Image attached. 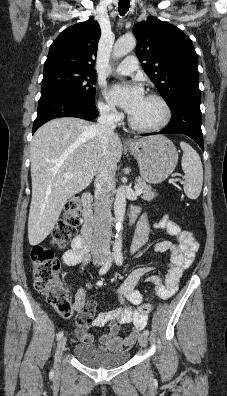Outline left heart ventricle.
Returning a JSON list of instances; mask_svg holds the SVG:
<instances>
[{"instance_id":"left-heart-ventricle-1","label":"left heart ventricle","mask_w":227,"mask_h":396,"mask_svg":"<svg viewBox=\"0 0 227 396\" xmlns=\"http://www.w3.org/2000/svg\"><path fill=\"white\" fill-rule=\"evenodd\" d=\"M140 125L150 126L157 124L163 117V110L158 102L145 97L139 108L131 115Z\"/></svg>"}]
</instances>
